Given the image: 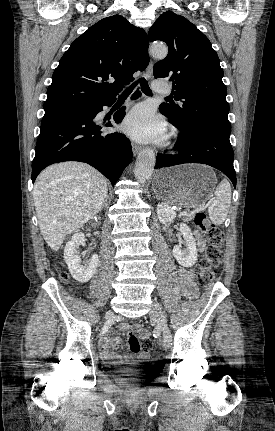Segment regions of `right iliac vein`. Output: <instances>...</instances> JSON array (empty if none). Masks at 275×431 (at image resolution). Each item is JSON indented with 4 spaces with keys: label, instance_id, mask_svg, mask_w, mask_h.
<instances>
[{
    "label": "right iliac vein",
    "instance_id": "1",
    "mask_svg": "<svg viewBox=\"0 0 275 431\" xmlns=\"http://www.w3.org/2000/svg\"><path fill=\"white\" fill-rule=\"evenodd\" d=\"M113 316H114V313L112 311H108L105 314V319H111V318H113Z\"/></svg>",
    "mask_w": 275,
    "mask_h": 431
}]
</instances>
